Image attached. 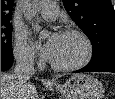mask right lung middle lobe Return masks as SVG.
Here are the masks:
<instances>
[{"instance_id":"1","label":"right lung middle lobe","mask_w":115,"mask_h":99,"mask_svg":"<svg viewBox=\"0 0 115 99\" xmlns=\"http://www.w3.org/2000/svg\"><path fill=\"white\" fill-rule=\"evenodd\" d=\"M12 55L11 24H1V57Z\"/></svg>"}]
</instances>
